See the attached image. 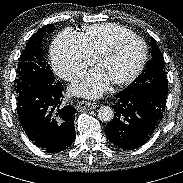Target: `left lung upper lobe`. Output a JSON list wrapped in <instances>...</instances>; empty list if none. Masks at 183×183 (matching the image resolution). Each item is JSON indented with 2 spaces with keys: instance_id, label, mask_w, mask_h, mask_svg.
<instances>
[{
  "instance_id": "1",
  "label": "left lung upper lobe",
  "mask_w": 183,
  "mask_h": 183,
  "mask_svg": "<svg viewBox=\"0 0 183 183\" xmlns=\"http://www.w3.org/2000/svg\"><path fill=\"white\" fill-rule=\"evenodd\" d=\"M152 60L134 84L126 90L137 96H144L157 103L166 104L168 83L163 55L154 38H151Z\"/></svg>"
}]
</instances>
